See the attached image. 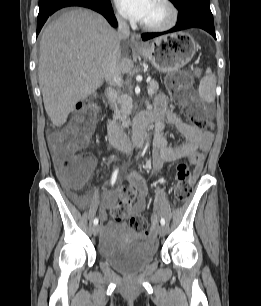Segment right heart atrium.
<instances>
[{
	"mask_svg": "<svg viewBox=\"0 0 261 306\" xmlns=\"http://www.w3.org/2000/svg\"><path fill=\"white\" fill-rule=\"evenodd\" d=\"M118 20H119L120 23H123V22H124L123 19H122L121 17H118Z\"/></svg>",
	"mask_w": 261,
	"mask_h": 306,
	"instance_id": "obj_1",
	"label": "right heart atrium"
}]
</instances>
